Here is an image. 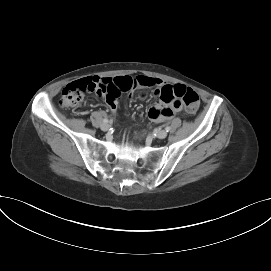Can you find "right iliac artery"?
Returning a JSON list of instances; mask_svg holds the SVG:
<instances>
[{"label": "right iliac artery", "mask_w": 271, "mask_h": 271, "mask_svg": "<svg viewBox=\"0 0 271 271\" xmlns=\"http://www.w3.org/2000/svg\"><path fill=\"white\" fill-rule=\"evenodd\" d=\"M103 122H104V123H108L109 120H108V119H104Z\"/></svg>", "instance_id": "obj_1"}]
</instances>
